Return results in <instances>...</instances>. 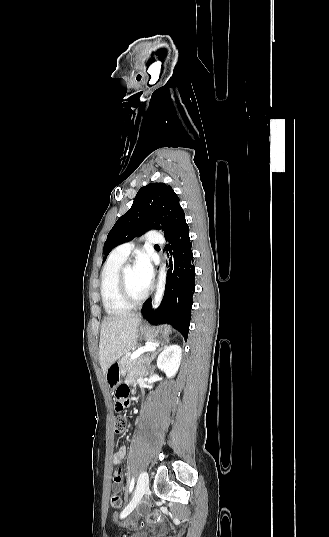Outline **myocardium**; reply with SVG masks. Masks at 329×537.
I'll return each instance as SVG.
<instances>
[{
	"label": "myocardium",
	"mask_w": 329,
	"mask_h": 537,
	"mask_svg": "<svg viewBox=\"0 0 329 537\" xmlns=\"http://www.w3.org/2000/svg\"><path fill=\"white\" fill-rule=\"evenodd\" d=\"M129 266H130L129 264H126L120 268L118 272V288H119V293H120L122 300L129 306L133 307V306L140 305L141 303L144 302V300H146V298L148 297L150 293V289L148 288L145 291V293L139 298H133L128 293L127 284H126V270Z\"/></svg>",
	"instance_id": "obj_1"
}]
</instances>
